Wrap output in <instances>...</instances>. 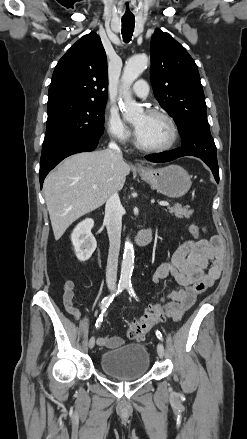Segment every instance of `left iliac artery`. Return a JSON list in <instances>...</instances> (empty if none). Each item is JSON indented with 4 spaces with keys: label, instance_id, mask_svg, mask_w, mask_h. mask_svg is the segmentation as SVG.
Masks as SVG:
<instances>
[{
    "label": "left iliac artery",
    "instance_id": "1",
    "mask_svg": "<svg viewBox=\"0 0 247 439\" xmlns=\"http://www.w3.org/2000/svg\"><path fill=\"white\" fill-rule=\"evenodd\" d=\"M126 289H127V291L129 292V294H130L132 297H134L136 300H138V298H137V296H136V293L134 292L131 283H129V284L126 285ZM156 336H157L158 339L163 340V336H162V334L160 333V331H158V330L156 331Z\"/></svg>",
    "mask_w": 247,
    "mask_h": 439
}]
</instances>
